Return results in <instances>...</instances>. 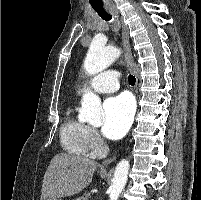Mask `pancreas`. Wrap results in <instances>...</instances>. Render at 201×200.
<instances>
[{"label":"pancreas","mask_w":201,"mask_h":200,"mask_svg":"<svg viewBox=\"0 0 201 200\" xmlns=\"http://www.w3.org/2000/svg\"><path fill=\"white\" fill-rule=\"evenodd\" d=\"M75 200H89V197L87 195L77 197Z\"/></svg>","instance_id":"1"}]
</instances>
